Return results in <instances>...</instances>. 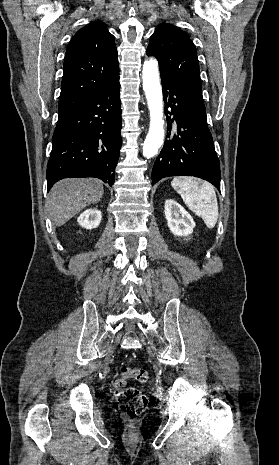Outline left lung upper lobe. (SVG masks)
Instances as JSON below:
<instances>
[{"mask_svg": "<svg viewBox=\"0 0 279 465\" xmlns=\"http://www.w3.org/2000/svg\"><path fill=\"white\" fill-rule=\"evenodd\" d=\"M146 53L157 58L161 77L205 108L196 49L185 32L172 24H160Z\"/></svg>", "mask_w": 279, "mask_h": 465, "instance_id": "obj_1", "label": "left lung upper lobe"}]
</instances>
